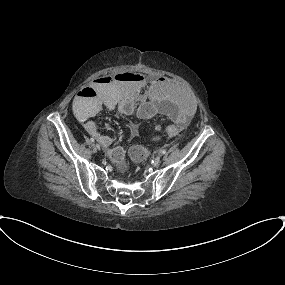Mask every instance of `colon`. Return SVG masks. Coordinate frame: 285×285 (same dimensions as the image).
Masks as SVG:
<instances>
[{
	"label": "colon",
	"mask_w": 285,
	"mask_h": 285,
	"mask_svg": "<svg viewBox=\"0 0 285 285\" xmlns=\"http://www.w3.org/2000/svg\"><path fill=\"white\" fill-rule=\"evenodd\" d=\"M123 79H128V80H135L137 79L136 76H134L133 74L130 73H125L122 75ZM87 95H91L90 97H87L88 100H95L96 99V95L94 93L91 94H87ZM168 129L170 131H176L178 128L175 125H170L168 126ZM156 139H158V137H156ZM146 149L140 145H134L131 147V158L133 160L136 161H142L145 157H146Z\"/></svg>",
	"instance_id": "colon-1"
}]
</instances>
